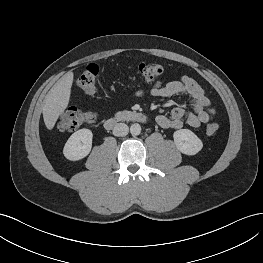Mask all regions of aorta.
Wrapping results in <instances>:
<instances>
[{"instance_id":"aorta-1","label":"aorta","mask_w":263,"mask_h":263,"mask_svg":"<svg viewBox=\"0 0 263 263\" xmlns=\"http://www.w3.org/2000/svg\"><path fill=\"white\" fill-rule=\"evenodd\" d=\"M130 133L132 135H139L141 133V126L138 123H134L130 127Z\"/></svg>"}]
</instances>
